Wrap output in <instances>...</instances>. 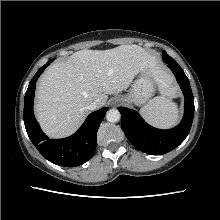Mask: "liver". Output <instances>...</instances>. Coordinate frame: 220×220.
<instances>
[{
	"instance_id": "liver-1",
	"label": "liver",
	"mask_w": 220,
	"mask_h": 220,
	"mask_svg": "<svg viewBox=\"0 0 220 220\" xmlns=\"http://www.w3.org/2000/svg\"><path fill=\"white\" fill-rule=\"evenodd\" d=\"M153 71V61L138 45L108 50H80L57 62L41 76L36 92V117L52 138L73 134L89 114L87 106L103 107L108 95L125 90L138 73ZM160 90L171 93L162 80Z\"/></svg>"
}]
</instances>
